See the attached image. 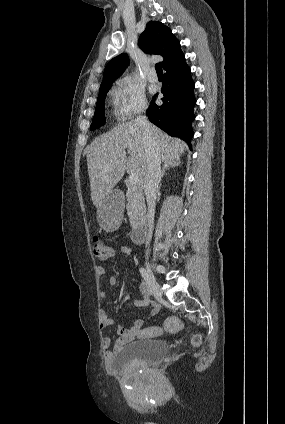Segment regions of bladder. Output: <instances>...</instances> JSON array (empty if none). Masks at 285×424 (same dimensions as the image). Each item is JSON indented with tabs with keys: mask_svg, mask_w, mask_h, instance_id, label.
<instances>
[{
	"mask_svg": "<svg viewBox=\"0 0 285 424\" xmlns=\"http://www.w3.org/2000/svg\"><path fill=\"white\" fill-rule=\"evenodd\" d=\"M168 352V344L161 340L134 341L114 352L110 368L117 372H125L134 364L154 366L159 364Z\"/></svg>",
	"mask_w": 285,
	"mask_h": 424,
	"instance_id": "obj_1",
	"label": "bladder"
}]
</instances>
